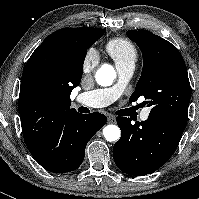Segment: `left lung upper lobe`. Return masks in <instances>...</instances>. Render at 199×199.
I'll use <instances>...</instances> for the list:
<instances>
[{
  "label": "left lung upper lobe",
  "mask_w": 199,
  "mask_h": 199,
  "mask_svg": "<svg viewBox=\"0 0 199 199\" xmlns=\"http://www.w3.org/2000/svg\"><path fill=\"white\" fill-rule=\"evenodd\" d=\"M127 36L143 54V69L130 101L143 96L150 113H160L187 123L191 87L179 50L147 30H129Z\"/></svg>",
  "instance_id": "left-lung-upper-lobe-1"
}]
</instances>
